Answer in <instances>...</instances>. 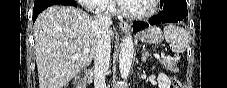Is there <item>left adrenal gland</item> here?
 Wrapping results in <instances>:
<instances>
[{"label":"left adrenal gland","instance_id":"a2214340","mask_svg":"<svg viewBox=\"0 0 227 88\" xmlns=\"http://www.w3.org/2000/svg\"><path fill=\"white\" fill-rule=\"evenodd\" d=\"M148 57V52L146 50H143L141 53V62L144 63Z\"/></svg>","mask_w":227,"mask_h":88}]
</instances>
